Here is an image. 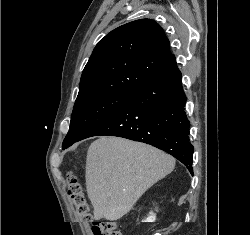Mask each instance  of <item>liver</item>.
<instances>
[{"instance_id": "6515ba94", "label": "liver", "mask_w": 250, "mask_h": 235, "mask_svg": "<svg viewBox=\"0 0 250 235\" xmlns=\"http://www.w3.org/2000/svg\"><path fill=\"white\" fill-rule=\"evenodd\" d=\"M174 167V158L150 145L118 137L95 140L87 151L85 176L94 218H122Z\"/></svg>"}]
</instances>
